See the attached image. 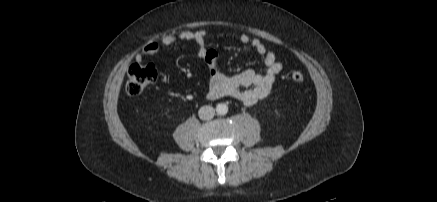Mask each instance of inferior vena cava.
<instances>
[{"label":"inferior vena cava","instance_id":"1","mask_svg":"<svg viewBox=\"0 0 437 202\" xmlns=\"http://www.w3.org/2000/svg\"><path fill=\"white\" fill-rule=\"evenodd\" d=\"M215 110L211 106H202L199 109L198 115L201 120H210L214 117Z\"/></svg>","mask_w":437,"mask_h":202}]
</instances>
